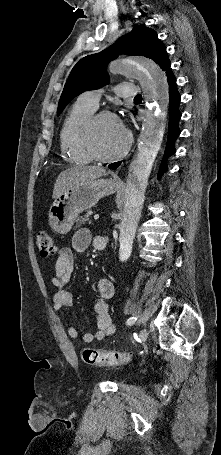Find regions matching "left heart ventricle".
<instances>
[{"instance_id": "b2bd125f", "label": "left heart ventricle", "mask_w": 221, "mask_h": 455, "mask_svg": "<svg viewBox=\"0 0 221 455\" xmlns=\"http://www.w3.org/2000/svg\"><path fill=\"white\" fill-rule=\"evenodd\" d=\"M127 133L116 118H102L93 133V146L101 155H109L120 150L126 141Z\"/></svg>"}]
</instances>
